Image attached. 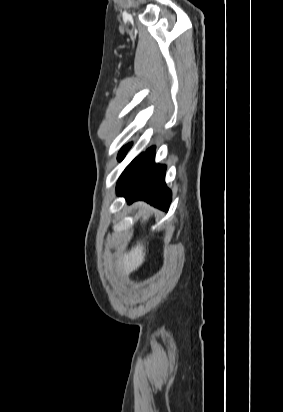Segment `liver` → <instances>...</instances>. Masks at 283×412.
<instances>
[{
  "instance_id": "obj_1",
  "label": "liver",
  "mask_w": 283,
  "mask_h": 412,
  "mask_svg": "<svg viewBox=\"0 0 283 412\" xmlns=\"http://www.w3.org/2000/svg\"><path fill=\"white\" fill-rule=\"evenodd\" d=\"M143 220H147L148 216L145 213L142 215ZM145 260V248L138 243L131 251L125 254L119 262V270L124 274L137 270Z\"/></svg>"
}]
</instances>
